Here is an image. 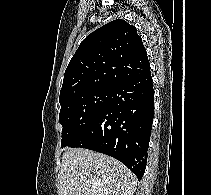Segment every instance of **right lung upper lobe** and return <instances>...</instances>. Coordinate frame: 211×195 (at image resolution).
Listing matches in <instances>:
<instances>
[{
	"mask_svg": "<svg viewBox=\"0 0 211 195\" xmlns=\"http://www.w3.org/2000/svg\"><path fill=\"white\" fill-rule=\"evenodd\" d=\"M150 63L135 26L114 20L88 35L70 60L59 102L77 93L147 73Z\"/></svg>",
	"mask_w": 211,
	"mask_h": 195,
	"instance_id": "cb5924a9",
	"label": "right lung upper lobe"
}]
</instances>
